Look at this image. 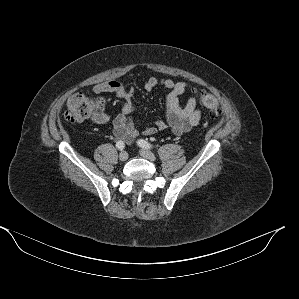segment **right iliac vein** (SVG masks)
<instances>
[{
  "label": "right iliac vein",
  "instance_id": "right-iliac-vein-1",
  "mask_svg": "<svg viewBox=\"0 0 299 299\" xmlns=\"http://www.w3.org/2000/svg\"><path fill=\"white\" fill-rule=\"evenodd\" d=\"M119 159L121 161H126L128 159V153L126 151H122L120 154H119Z\"/></svg>",
  "mask_w": 299,
  "mask_h": 299
}]
</instances>
